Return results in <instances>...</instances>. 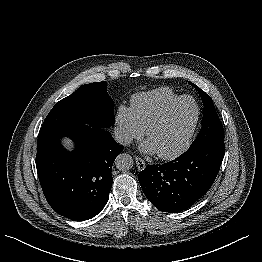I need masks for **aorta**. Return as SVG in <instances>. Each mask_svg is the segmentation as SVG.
<instances>
[{"label":"aorta","mask_w":262,"mask_h":262,"mask_svg":"<svg viewBox=\"0 0 262 262\" xmlns=\"http://www.w3.org/2000/svg\"><path fill=\"white\" fill-rule=\"evenodd\" d=\"M133 158L126 153L120 154L115 160L116 168L120 171H128L133 167Z\"/></svg>","instance_id":"obj_1"}]
</instances>
